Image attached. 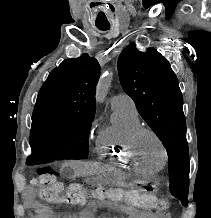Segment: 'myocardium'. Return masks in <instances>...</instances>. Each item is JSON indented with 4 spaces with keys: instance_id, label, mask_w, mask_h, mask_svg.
<instances>
[{
    "instance_id": "f54148a6",
    "label": "myocardium",
    "mask_w": 211,
    "mask_h": 218,
    "mask_svg": "<svg viewBox=\"0 0 211 218\" xmlns=\"http://www.w3.org/2000/svg\"><path fill=\"white\" fill-rule=\"evenodd\" d=\"M143 134H150L151 136H153L155 138V140L159 144L160 149H161V156H162V160H161V163L159 166L160 167L163 166L166 162V159H167V152H166L165 145H164L162 139L160 138V136L157 134V132L149 127L139 126L138 128H136L133 131L132 136H131V143H132V147H133L132 155L139 158L138 147H139L141 136ZM141 163H145V162H143L141 160Z\"/></svg>"
}]
</instances>
